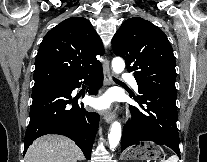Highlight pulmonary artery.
Masks as SVG:
<instances>
[{"label":"pulmonary artery","mask_w":207,"mask_h":162,"mask_svg":"<svg viewBox=\"0 0 207 162\" xmlns=\"http://www.w3.org/2000/svg\"><path fill=\"white\" fill-rule=\"evenodd\" d=\"M124 79L134 90H136V91L138 90L139 86L132 75L126 74L124 76Z\"/></svg>","instance_id":"pulmonary-artery-1"}]
</instances>
